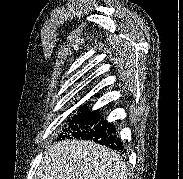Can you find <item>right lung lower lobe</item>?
Returning a JSON list of instances; mask_svg holds the SVG:
<instances>
[{
  "label": "right lung lower lobe",
  "mask_w": 183,
  "mask_h": 179,
  "mask_svg": "<svg viewBox=\"0 0 183 179\" xmlns=\"http://www.w3.org/2000/svg\"><path fill=\"white\" fill-rule=\"evenodd\" d=\"M115 133L116 129L113 124L108 123L106 120H100L82 135H77L75 138L95 141L114 150L122 151V142L116 137Z\"/></svg>",
  "instance_id": "right-lung-lower-lobe-1"
}]
</instances>
